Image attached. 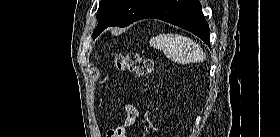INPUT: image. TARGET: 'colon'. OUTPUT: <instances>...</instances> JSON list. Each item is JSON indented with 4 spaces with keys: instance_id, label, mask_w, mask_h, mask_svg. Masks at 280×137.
<instances>
[{
    "instance_id": "colon-1",
    "label": "colon",
    "mask_w": 280,
    "mask_h": 137,
    "mask_svg": "<svg viewBox=\"0 0 280 137\" xmlns=\"http://www.w3.org/2000/svg\"><path fill=\"white\" fill-rule=\"evenodd\" d=\"M113 67L119 72H129L137 76H152L155 73L153 60L134 52L116 55L113 60ZM126 129L125 125H118L110 129L107 136L125 137Z\"/></svg>"
}]
</instances>
